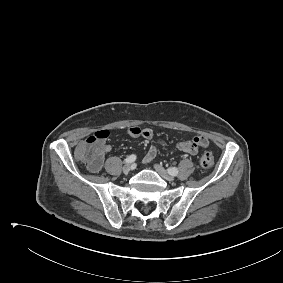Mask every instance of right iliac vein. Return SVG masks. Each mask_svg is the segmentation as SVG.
<instances>
[{
  "mask_svg": "<svg viewBox=\"0 0 283 283\" xmlns=\"http://www.w3.org/2000/svg\"><path fill=\"white\" fill-rule=\"evenodd\" d=\"M131 169H132V166H131V164H129V163H127V164H125L124 166H123V173L124 174H128L130 171H131Z\"/></svg>",
  "mask_w": 283,
  "mask_h": 283,
  "instance_id": "1",
  "label": "right iliac vein"
}]
</instances>
